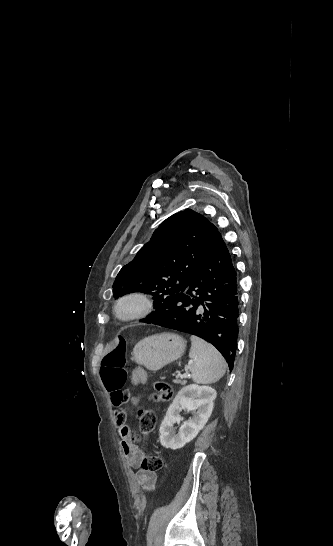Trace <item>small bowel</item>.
Instances as JSON below:
<instances>
[{
    "label": "small bowel",
    "mask_w": 333,
    "mask_h": 546,
    "mask_svg": "<svg viewBox=\"0 0 333 546\" xmlns=\"http://www.w3.org/2000/svg\"><path fill=\"white\" fill-rule=\"evenodd\" d=\"M136 367L137 368H134L130 374L138 381L144 380L141 384L144 387L147 386V380L149 379V376L145 373H147L149 370L145 368L144 364L141 362L138 363ZM124 393L125 392L123 390H117L114 392H109V395L112 404L118 408L115 411V420L118 428V434L121 439L123 455L126 459L127 464L130 467L140 468L144 458L143 451L135 443L132 431L129 428L128 424L125 423L127 417L126 411L120 408L123 403L122 398ZM136 481L142 487V489L148 491L154 486L156 482V474L155 472H149L140 469L136 473Z\"/></svg>",
    "instance_id": "obj_1"
}]
</instances>
